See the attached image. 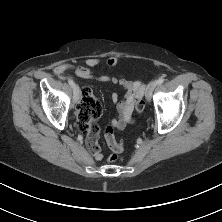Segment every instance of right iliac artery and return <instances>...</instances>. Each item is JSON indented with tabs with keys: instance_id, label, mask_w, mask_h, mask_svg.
Masks as SVG:
<instances>
[{
	"instance_id": "obj_1",
	"label": "right iliac artery",
	"mask_w": 222,
	"mask_h": 222,
	"mask_svg": "<svg viewBox=\"0 0 222 222\" xmlns=\"http://www.w3.org/2000/svg\"><path fill=\"white\" fill-rule=\"evenodd\" d=\"M68 83H69V85H70L72 88L75 87V83H74V81H73L71 78L68 79Z\"/></svg>"
}]
</instances>
